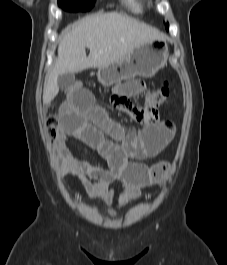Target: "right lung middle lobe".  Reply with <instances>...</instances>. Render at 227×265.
<instances>
[{
    "mask_svg": "<svg viewBox=\"0 0 227 265\" xmlns=\"http://www.w3.org/2000/svg\"><path fill=\"white\" fill-rule=\"evenodd\" d=\"M95 0H58L59 6L69 11H87L94 5Z\"/></svg>",
    "mask_w": 227,
    "mask_h": 265,
    "instance_id": "obj_1",
    "label": "right lung middle lobe"
}]
</instances>
